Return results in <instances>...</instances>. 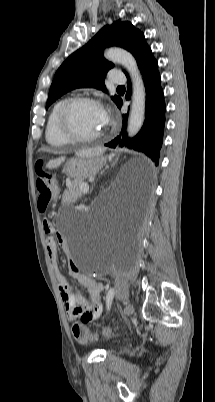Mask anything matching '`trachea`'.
Segmentation results:
<instances>
[{
  "mask_svg": "<svg viewBox=\"0 0 215 402\" xmlns=\"http://www.w3.org/2000/svg\"><path fill=\"white\" fill-rule=\"evenodd\" d=\"M118 88H124V86H119Z\"/></svg>",
  "mask_w": 215,
  "mask_h": 402,
  "instance_id": "3493384b",
  "label": "trachea"
}]
</instances>
